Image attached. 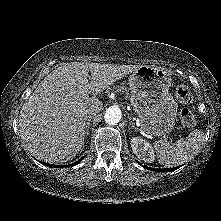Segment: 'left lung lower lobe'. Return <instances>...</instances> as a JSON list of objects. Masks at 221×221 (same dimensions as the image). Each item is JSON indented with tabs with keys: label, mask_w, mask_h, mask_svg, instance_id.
Instances as JSON below:
<instances>
[{
	"label": "left lung lower lobe",
	"mask_w": 221,
	"mask_h": 221,
	"mask_svg": "<svg viewBox=\"0 0 221 221\" xmlns=\"http://www.w3.org/2000/svg\"><path fill=\"white\" fill-rule=\"evenodd\" d=\"M180 167V166H179ZM179 167H174V168H164V169H152V168H148L146 167L147 169H150V170H153V171H158V172H170V171H174L176 169H178Z\"/></svg>",
	"instance_id": "0a47b994"
}]
</instances>
